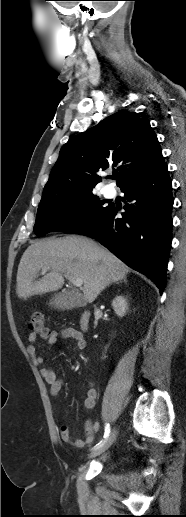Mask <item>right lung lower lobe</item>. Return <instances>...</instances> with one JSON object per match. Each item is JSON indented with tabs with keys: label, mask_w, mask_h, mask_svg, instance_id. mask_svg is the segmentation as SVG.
<instances>
[{
	"label": "right lung lower lobe",
	"mask_w": 186,
	"mask_h": 517,
	"mask_svg": "<svg viewBox=\"0 0 186 517\" xmlns=\"http://www.w3.org/2000/svg\"><path fill=\"white\" fill-rule=\"evenodd\" d=\"M127 201L123 218L109 206L89 225L75 231L107 247L131 268L149 277L163 293L171 248L172 182L165 162L121 187Z\"/></svg>",
	"instance_id": "98d812e1"
}]
</instances>
